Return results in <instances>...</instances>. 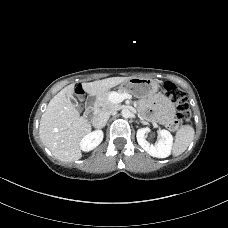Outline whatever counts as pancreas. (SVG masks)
<instances>
[{"instance_id": "cf45deb5", "label": "pancreas", "mask_w": 228, "mask_h": 228, "mask_svg": "<svg viewBox=\"0 0 228 228\" xmlns=\"http://www.w3.org/2000/svg\"><path fill=\"white\" fill-rule=\"evenodd\" d=\"M113 93L123 94V93H128V92L125 90H118V92L111 91V92L105 93L102 96L97 98L96 103H95L96 107L100 108L101 111H104V112H112V111L116 110L117 104L113 103L111 101V95Z\"/></svg>"}]
</instances>
